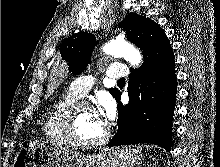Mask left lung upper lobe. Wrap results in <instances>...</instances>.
<instances>
[{
  "label": "left lung upper lobe",
  "instance_id": "5c2ea615",
  "mask_svg": "<svg viewBox=\"0 0 220 167\" xmlns=\"http://www.w3.org/2000/svg\"><path fill=\"white\" fill-rule=\"evenodd\" d=\"M119 27L126 31L127 40L143 51L144 61L160 57L172 50L161 27L146 17L131 12L119 24ZM95 44L94 35L87 32L74 34L64 40L59 50L62 59L68 62L70 72L79 74L86 69ZM109 91L114 98L120 92L116 88L109 89Z\"/></svg>",
  "mask_w": 220,
  "mask_h": 167
}]
</instances>
